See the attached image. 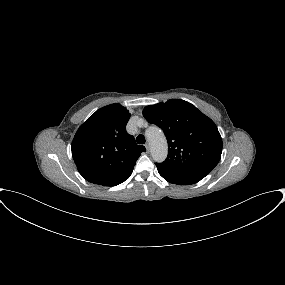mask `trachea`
Masks as SVG:
<instances>
[{"instance_id": "1", "label": "trachea", "mask_w": 285, "mask_h": 285, "mask_svg": "<svg viewBox=\"0 0 285 285\" xmlns=\"http://www.w3.org/2000/svg\"><path fill=\"white\" fill-rule=\"evenodd\" d=\"M136 141L138 144H144L145 143V137L140 134L137 136Z\"/></svg>"}]
</instances>
